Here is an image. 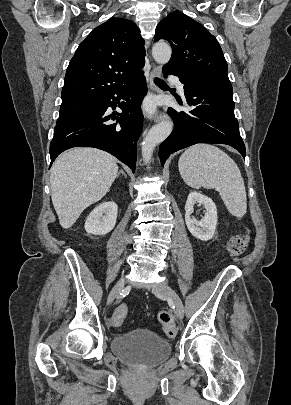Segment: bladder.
I'll return each mask as SVG.
<instances>
[{
    "label": "bladder",
    "instance_id": "1",
    "mask_svg": "<svg viewBox=\"0 0 291 405\" xmlns=\"http://www.w3.org/2000/svg\"><path fill=\"white\" fill-rule=\"evenodd\" d=\"M111 350L125 364L152 368L170 356L172 346L156 332L138 328L115 336Z\"/></svg>",
    "mask_w": 291,
    "mask_h": 405
}]
</instances>
